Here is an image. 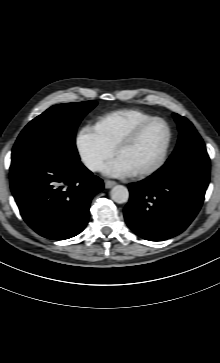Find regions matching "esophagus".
I'll return each instance as SVG.
<instances>
[{"label": "esophagus", "instance_id": "esophagus-1", "mask_svg": "<svg viewBox=\"0 0 220 363\" xmlns=\"http://www.w3.org/2000/svg\"><path fill=\"white\" fill-rule=\"evenodd\" d=\"M117 183L115 181H111V180H105V188L109 189L112 188L113 186H115Z\"/></svg>", "mask_w": 220, "mask_h": 363}]
</instances>
